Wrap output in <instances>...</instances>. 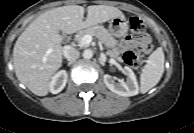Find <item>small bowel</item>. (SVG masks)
Masks as SVG:
<instances>
[{
    "label": "small bowel",
    "instance_id": "c3829d8e",
    "mask_svg": "<svg viewBox=\"0 0 194 133\" xmlns=\"http://www.w3.org/2000/svg\"><path fill=\"white\" fill-rule=\"evenodd\" d=\"M143 52L149 53L153 51V44L150 43V38L147 35L141 36V37H132L127 36L122 40L121 48L123 50H130L133 48H138Z\"/></svg>",
    "mask_w": 194,
    "mask_h": 133
}]
</instances>
